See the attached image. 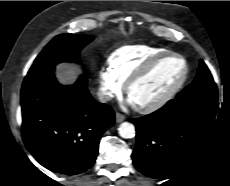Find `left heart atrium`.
<instances>
[{"mask_svg": "<svg viewBox=\"0 0 230 186\" xmlns=\"http://www.w3.org/2000/svg\"><path fill=\"white\" fill-rule=\"evenodd\" d=\"M128 103L129 104H134L130 98H128Z\"/></svg>", "mask_w": 230, "mask_h": 186, "instance_id": "left-heart-atrium-1", "label": "left heart atrium"}]
</instances>
